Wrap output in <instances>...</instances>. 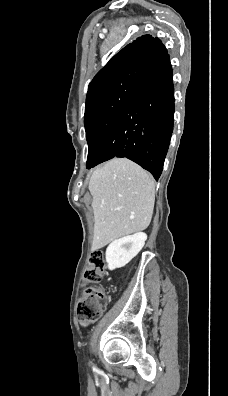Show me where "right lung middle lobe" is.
<instances>
[{
    "label": "right lung middle lobe",
    "instance_id": "1",
    "mask_svg": "<svg viewBox=\"0 0 228 396\" xmlns=\"http://www.w3.org/2000/svg\"><path fill=\"white\" fill-rule=\"evenodd\" d=\"M143 73V70H136L117 76L101 83L87 94L84 124L89 146L86 163L88 169L95 162L115 118Z\"/></svg>",
    "mask_w": 228,
    "mask_h": 396
}]
</instances>
